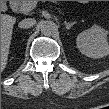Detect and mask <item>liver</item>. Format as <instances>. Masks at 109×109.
Segmentation results:
<instances>
[{
    "instance_id": "liver-1",
    "label": "liver",
    "mask_w": 109,
    "mask_h": 109,
    "mask_svg": "<svg viewBox=\"0 0 109 109\" xmlns=\"http://www.w3.org/2000/svg\"><path fill=\"white\" fill-rule=\"evenodd\" d=\"M16 18L10 15H1V69L4 70L7 64L9 48L11 43V36L13 25Z\"/></svg>"
}]
</instances>
